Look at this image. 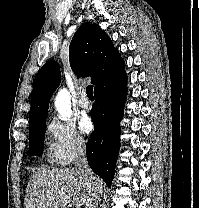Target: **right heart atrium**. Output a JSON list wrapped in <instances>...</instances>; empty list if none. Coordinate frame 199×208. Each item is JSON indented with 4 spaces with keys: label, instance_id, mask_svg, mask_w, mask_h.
<instances>
[{
    "label": "right heart atrium",
    "instance_id": "1",
    "mask_svg": "<svg viewBox=\"0 0 199 208\" xmlns=\"http://www.w3.org/2000/svg\"><path fill=\"white\" fill-rule=\"evenodd\" d=\"M47 134L49 154L58 165L72 163L85 151L86 141L71 121L53 118L47 126Z\"/></svg>",
    "mask_w": 199,
    "mask_h": 208
}]
</instances>
